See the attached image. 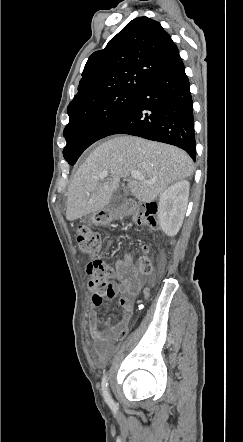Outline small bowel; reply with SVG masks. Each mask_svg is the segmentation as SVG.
<instances>
[{
  "instance_id": "small-bowel-1",
  "label": "small bowel",
  "mask_w": 243,
  "mask_h": 442,
  "mask_svg": "<svg viewBox=\"0 0 243 442\" xmlns=\"http://www.w3.org/2000/svg\"><path fill=\"white\" fill-rule=\"evenodd\" d=\"M115 277L118 282H113L111 284L114 290L113 297L117 294L120 295L118 303L123 309V317L121 321L115 325H110L109 322H107L105 327L109 328L114 334H118L121 327L126 325L132 313L133 302L141 291L144 280L138 275L133 264L126 263L122 260H118L115 263ZM88 322L90 331L95 339L94 350L96 354V362L97 364L102 365L106 362L109 356V341L105 338V328L98 326L97 310L95 307H91L88 311Z\"/></svg>"
}]
</instances>
